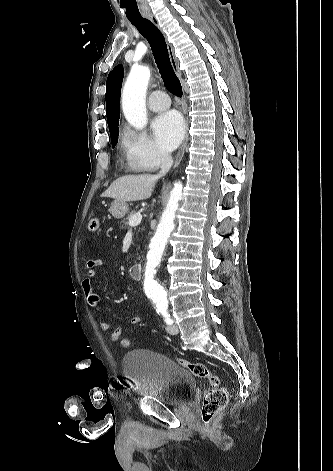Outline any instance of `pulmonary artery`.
<instances>
[{"label": "pulmonary artery", "mask_w": 333, "mask_h": 471, "mask_svg": "<svg viewBox=\"0 0 333 471\" xmlns=\"http://www.w3.org/2000/svg\"><path fill=\"white\" fill-rule=\"evenodd\" d=\"M148 106L152 111H163L170 106V99L165 92L156 90L150 94Z\"/></svg>", "instance_id": "e3ab8cb5"}]
</instances>
